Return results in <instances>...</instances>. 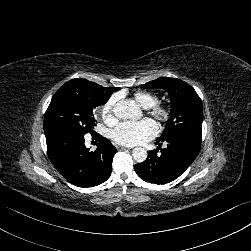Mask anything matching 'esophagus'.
<instances>
[{
    "label": "esophagus",
    "instance_id": "34e87169",
    "mask_svg": "<svg viewBox=\"0 0 251 251\" xmlns=\"http://www.w3.org/2000/svg\"><path fill=\"white\" fill-rule=\"evenodd\" d=\"M130 148L124 147V146H117L118 151H123V150H129Z\"/></svg>",
    "mask_w": 251,
    "mask_h": 251
}]
</instances>
